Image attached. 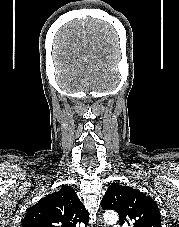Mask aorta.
Listing matches in <instances>:
<instances>
[{"label": "aorta", "instance_id": "aorta-1", "mask_svg": "<svg viewBox=\"0 0 179 227\" xmlns=\"http://www.w3.org/2000/svg\"><path fill=\"white\" fill-rule=\"evenodd\" d=\"M104 220L108 223H116L118 221V214L115 211H106L104 214Z\"/></svg>", "mask_w": 179, "mask_h": 227}]
</instances>
